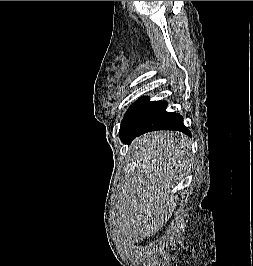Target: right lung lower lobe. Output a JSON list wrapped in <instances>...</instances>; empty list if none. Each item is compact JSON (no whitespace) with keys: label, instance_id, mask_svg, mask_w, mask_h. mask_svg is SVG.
I'll list each match as a JSON object with an SVG mask.
<instances>
[{"label":"right lung lower lobe","instance_id":"98d812e1","mask_svg":"<svg viewBox=\"0 0 253 266\" xmlns=\"http://www.w3.org/2000/svg\"><path fill=\"white\" fill-rule=\"evenodd\" d=\"M155 130H177L190 135V131L183 123V117L176 113H168L160 122L152 126L131 129L121 123L119 136L123 143L129 144L137 136Z\"/></svg>","mask_w":253,"mask_h":266}]
</instances>
